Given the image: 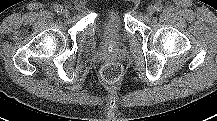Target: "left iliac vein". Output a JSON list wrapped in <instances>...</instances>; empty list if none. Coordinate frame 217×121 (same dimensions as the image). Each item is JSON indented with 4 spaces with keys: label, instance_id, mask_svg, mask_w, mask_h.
<instances>
[{
    "label": "left iliac vein",
    "instance_id": "obj_1",
    "mask_svg": "<svg viewBox=\"0 0 217 121\" xmlns=\"http://www.w3.org/2000/svg\"><path fill=\"white\" fill-rule=\"evenodd\" d=\"M154 12H155V8H154L153 6H149V7L147 8L146 14H147L148 16H152Z\"/></svg>",
    "mask_w": 217,
    "mask_h": 121
}]
</instances>
